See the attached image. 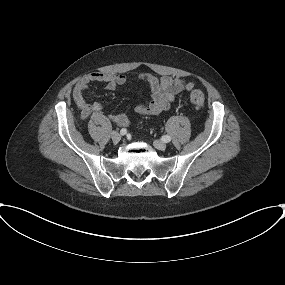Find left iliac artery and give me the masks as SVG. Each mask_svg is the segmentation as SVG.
<instances>
[{"label":"left iliac artery","instance_id":"left-iliac-artery-1","mask_svg":"<svg viewBox=\"0 0 285 285\" xmlns=\"http://www.w3.org/2000/svg\"><path fill=\"white\" fill-rule=\"evenodd\" d=\"M162 140H163L164 142H170V141H171V137L168 136V135H165V136L162 137Z\"/></svg>","mask_w":285,"mask_h":285}]
</instances>
